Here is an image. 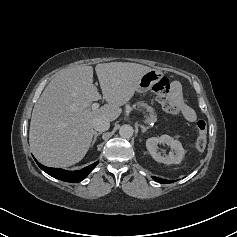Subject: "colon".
<instances>
[{
  "label": "colon",
  "mask_w": 237,
  "mask_h": 237,
  "mask_svg": "<svg viewBox=\"0 0 237 237\" xmlns=\"http://www.w3.org/2000/svg\"><path fill=\"white\" fill-rule=\"evenodd\" d=\"M153 91L161 102L164 110L170 114H178L181 112L179 103L172 96V89L167 78H161L154 86ZM198 137L195 147L198 151H203L207 144V124L203 120H199L196 125Z\"/></svg>",
  "instance_id": "1"
}]
</instances>
